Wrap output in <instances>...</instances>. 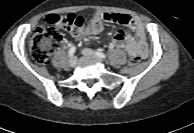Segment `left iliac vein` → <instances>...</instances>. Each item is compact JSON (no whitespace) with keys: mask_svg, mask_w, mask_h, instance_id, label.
Segmentation results:
<instances>
[{"mask_svg":"<svg viewBox=\"0 0 194 133\" xmlns=\"http://www.w3.org/2000/svg\"><path fill=\"white\" fill-rule=\"evenodd\" d=\"M81 53L85 56H93L97 59H99L100 61H102V59L96 54V52H94L93 50L89 49V48H85L81 51Z\"/></svg>","mask_w":194,"mask_h":133,"instance_id":"4c4485c4","label":"left iliac vein"}]
</instances>
